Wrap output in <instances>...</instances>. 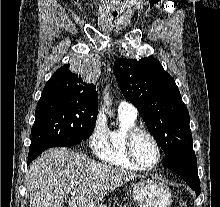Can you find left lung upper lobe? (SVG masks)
Wrapping results in <instances>:
<instances>
[{"instance_id":"obj_1","label":"left lung upper lobe","mask_w":220,"mask_h":207,"mask_svg":"<svg viewBox=\"0 0 220 207\" xmlns=\"http://www.w3.org/2000/svg\"><path fill=\"white\" fill-rule=\"evenodd\" d=\"M114 74L166 156L192 147L188 110L174 79L157 59H119Z\"/></svg>"}]
</instances>
